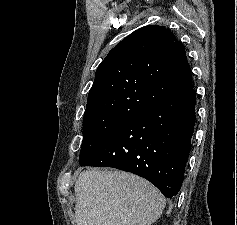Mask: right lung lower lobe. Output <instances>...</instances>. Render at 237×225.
I'll return each instance as SVG.
<instances>
[{"instance_id": "1", "label": "right lung lower lobe", "mask_w": 237, "mask_h": 225, "mask_svg": "<svg viewBox=\"0 0 237 225\" xmlns=\"http://www.w3.org/2000/svg\"><path fill=\"white\" fill-rule=\"evenodd\" d=\"M193 87L155 103L79 160L81 166L113 167L137 174L167 198L178 194L184 179L195 125Z\"/></svg>"}]
</instances>
